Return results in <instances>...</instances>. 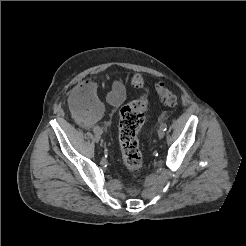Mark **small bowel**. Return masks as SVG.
I'll use <instances>...</instances> for the list:
<instances>
[{
	"instance_id": "1",
	"label": "small bowel",
	"mask_w": 246,
	"mask_h": 246,
	"mask_svg": "<svg viewBox=\"0 0 246 246\" xmlns=\"http://www.w3.org/2000/svg\"><path fill=\"white\" fill-rule=\"evenodd\" d=\"M126 100V84L116 80L103 98L98 84L93 79H86L75 86L70 94L69 105L76 122L82 127H90L100 122L104 112V102L111 109H116Z\"/></svg>"
}]
</instances>
